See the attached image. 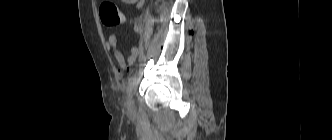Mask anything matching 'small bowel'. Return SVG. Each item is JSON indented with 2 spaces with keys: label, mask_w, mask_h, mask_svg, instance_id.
<instances>
[{
  "label": "small bowel",
  "mask_w": 332,
  "mask_h": 140,
  "mask_svg": "<svg viewBox=\"0 0 332 140\" xmlns=\"http://www.w3.org/2000/svg\"><path fill=\"white\" fill-rule=\"evenodd\" d=\"M120 1L124 4L135 5V7L139 9L144 6L146 0H120ZM117 42L118 41L116 35L111 34L107 39L106 46L108 50L112 51L113 56L116 62L118 63L119 67L121 69H125L128 65H132L136 61L139 54V50L137 47H133L128 57L125 58L124 55L121 53V51L118 49Z\"/></svg>",
  "instance_id": "obj_1"
}]
</instances>
